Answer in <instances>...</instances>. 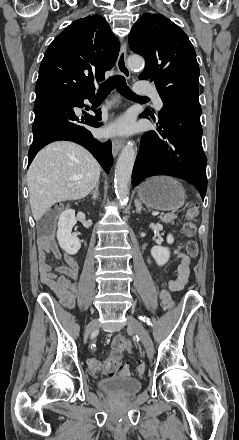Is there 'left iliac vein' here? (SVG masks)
<instances>
[{"instance_id":"4c4485c4","label":"left iliac vein","mask_w":239,"mask_h":440,"mask_svg":"<svg viewBox=\"0 0 239 440\" xmlns=\"http://www.w3.org/2000/svg\"><path fill=\"white\" fill-rule=\"evenodd\" d=\"M127 326L131 329L135 334H137L146 350L148 357L151 359L154 355V346L152 339L147 332V330L143 327V325L134 317H127Z\"/></svg>"}]
</instances>
